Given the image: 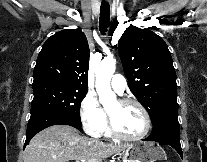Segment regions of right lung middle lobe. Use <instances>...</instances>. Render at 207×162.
Wrapping results in <instances>:
<instances>
[{"mask_svg":"<svg viewBox=\"0 0 207 162\" xmlns=\"http://www.w3.org/2000/svg\"><path fill=\"white\" fill-rule=\"evenodd\" d=\"M87 90H78L59 85H44L33 88L34 98L31 114L38 111H57L80 120V102Z\"/></svg>","mask_w":207,"mask_h":162,"instance_id":"1","label":"right lung middle lobe"}]
</instances>
